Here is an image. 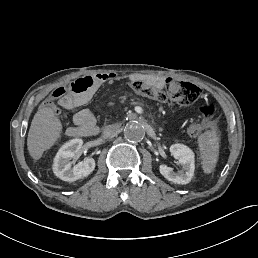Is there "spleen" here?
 Masks as SVG:
<instances>
[{
	"label": "spleen",
	"instance_id": "3e777b00",
	"mask_svg": "<svg viewBox=\"0 0 258 258\" xmlns=\"http://www.w3.org/2000/svg\"><path fill=\"white\" fill-rule=\"evenodd\" d=\"M199 148L202 154V165L205 172L210 173L217 162L219 141L215 132H206L199 136Z\"/></svg>",
	"mask_w": 258,
	"mask_h": 258
}]
</instances>
